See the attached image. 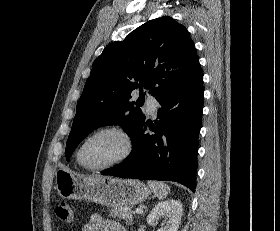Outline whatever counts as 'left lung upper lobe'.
I'll return each mask as SVG.
<instances>
[{
    "instance_id": "obj_1",
    "label": "left lung upper lobe",
    "mask_w": 280,
    "mask_h": 231,
    "mask_svg": "<svg viewBox=\"0 0 280 231\" xmlns=\"http://www.w3.org/2000/svg\"><path fill=\"white\" fill-rule=\"evenodd\" d=\"M200 68L186 28L169 16L146 22L123 41L108 45L94 61L66 144V159L93 130L120 125L131 137L144 122L143 88L158 96ZM141 96L132 100L131 93Z\"/></svg>"
}]
</instances>
